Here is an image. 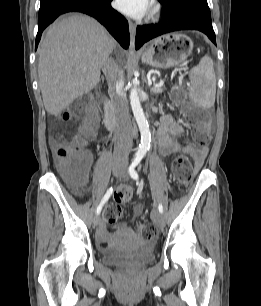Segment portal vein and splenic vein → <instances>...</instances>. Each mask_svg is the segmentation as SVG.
Wrapping results in <instances>:
<instances>
[{
	"label": "portal vein and splenic vein",
	"instance_id": "1",
	"mask_svg": "<svg viewBox=\"0 0 261 306\" xmlns=\"http://www.w3.org/2000/svg\"><path fill=\"white\" fill-rule=\"evenodd\" d=\"M149 85H151V83H149ZM161 84H154L155 87L160 86Z\"/></svg>",
	"mask_w": 261,
	"mask_h": 306
}]
</instances>
